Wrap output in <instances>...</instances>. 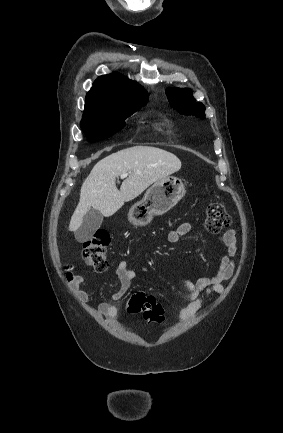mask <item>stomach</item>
I'll return each mask as SVG.
<instances>
[{
    "label": "stomach",
    "mask_w": 283,
    "mask_h": 433,
    "mask_svg": "<svg viewBox=\"0 0 283 433\" xmlns=\"http://www.w3.org/2000/svg\"><path fill=\"white\" fill-rule=\"evenodd\" d=\"M186 190L181 178L164 176L146 190L142 200L131 206L128 217L132 223H144L153 219L154 214H163L181 200Z\"/></svg>",
    "instance_id": "stomach-1"
}]
</instances>
